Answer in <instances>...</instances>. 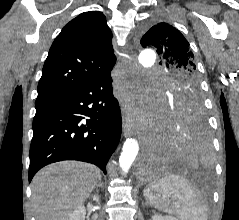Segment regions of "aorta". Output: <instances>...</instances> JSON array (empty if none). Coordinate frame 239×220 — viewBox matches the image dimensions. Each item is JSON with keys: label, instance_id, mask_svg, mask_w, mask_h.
<instances>
[{"label": "aorta", "instance_id": "aorta-1", "mask_svg": "<svg viewBox=\"0 0 239 220\" xmlns=\"http://www.w3.org/2000/svg\"><path fill=\"white\" fill-rule=\"evenodd\" d=\"M155 48H143L137 56L138 65L148 67L155 65ZM151 71V70H150ZM139 151V144L135 138H128L124 143L121 155L119 157V165L124 174L129 172Z\"/></svg>", "mask_w": 239, "mask_h": 220}]
</instances>
